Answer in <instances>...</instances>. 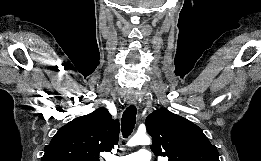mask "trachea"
Masks as SVG:
<instances>
[{
  "label": "trachea",
  "instance_id": "trachea-1",
  "mask_svg": "<svg viewBox=\"0 0 261 161\" xmlns=\"http://www.w3.org/2000/svg\"><path fill=\"white\" fill-rule=\"evenodd\" d=\"M136 107L134 105H130L126 108L122 115V134L124 138H127L129 135H131L135 122H136Z\"/></svg>",
  "mask_w": 261,
  "mask_h": 161
}]
</instances>
